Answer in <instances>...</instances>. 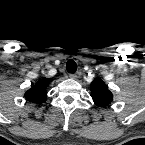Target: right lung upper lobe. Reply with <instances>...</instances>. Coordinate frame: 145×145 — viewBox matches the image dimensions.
Returning a JSON list of instances; mask_svg holds the SVG:
<instances>
[{
    "mask_svg": "<svg viewBox=\"0 0 145 145\" xmlns=\"http://www.w3.org/2000/svg\"><path fill=\"white\" fill-rule=\"evenodd\" d=\"M51 81L52 79L47 78L39 80L35 86L25 93V98L30 102L38 104L44 103L47 100L46 88Z\"/></svg>",
    "mask_w": 145,
    "mask_h": 145,
    "instance_id": "obj_1",
    "label": "right lung upper lobe"
}]
</instances>
